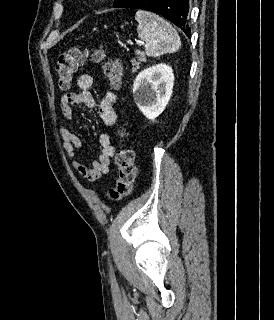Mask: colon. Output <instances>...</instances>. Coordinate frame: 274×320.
<instances>
[{"mask_svg":"<svg viewBox=\"0 0 274 320\" xmlns=\"http://www.w3.org/2000/svg\"><path fill=\"white\" fill-rule=\"evenodd\" d=\"M89 52L85 47L76 46L67 49L57 59L55 73L61 89H69L73 83L78 67L85 61ZM105 58V48H97L91 54V60L95 63L102 62ZM108 76L119 84L122 79V69L116 59L109 60L104 65ZM126 137V134H123ZM118 180L116 186L108 190V196L112 201H121L133 190L135 180L134 153L131 148L122 147L117 156Z\"/></svg>","mask_w":274,"mask_h":320,"instance_id":"1","label":"colon"}]
</instances>
